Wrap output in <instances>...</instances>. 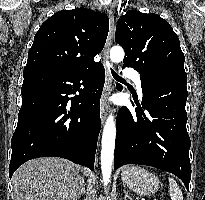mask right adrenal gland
<instances>
[{
  "label": "right adrenal gland",
  "mask_w": 205,
  "mask_h": 200,
  "mask_svg": "<svg viewBox=\"0 0 205 200\" xmlns=\"http://www.w3.org/2000/svg\"><path fill=\"white\" fill-rule=\"evenodd\" d=\"M85 182H84V179L81 178L80 179V190H79V193H78V196H77V199L76 200H79L81 195H83L85 193Z\"/></svg>",
  "instance_id": "2a0ac1e0"
}]
</instances>
